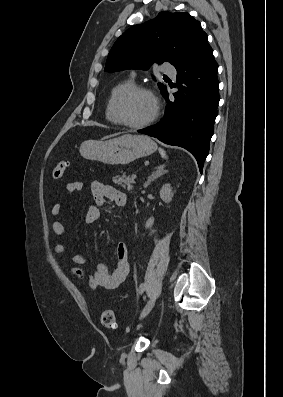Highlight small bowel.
Returning a JSON list of instances; mask_svg holds the SVG:
<instances>
[{
	"label": "small bowel",
	"mask_w": 283,
	"mask_h": 397,
	"mask_svg": "<svg viewBox=\"0 0 283 397\" xmlns=\"http://www.w3.org/2000/svg\"><path fill=\"white\" fill-rule=\"evenodd\" d=\"M83 183L80 181H72L66 184V190L69 193L81 192L83 190ZM92 203L88 206L85 214V222L94 224L99 221L101 213L100 208L107 203H113L117 207H124L127 202L126 195L108 185H104L98 181H94L91 185ZM52 215L55 218L52 222V230L59 238L54 245L53 251L55 254H61L65 251V244L63 238L66 234L64 224L58 219L61 213V204L56 202L51 209ZM116 264L113 270H110L106 264H97L93 273L89 274L85 269L87 258L83 255L76 254L73 256L75 266L67 270L68 274L75 278H87L88 285L91 289H115L127 277L129 273L128 250L123 242H118L116 245Z\"/></svg>",
	"instance_id": "small-bowel-1"
}]
</instances>
